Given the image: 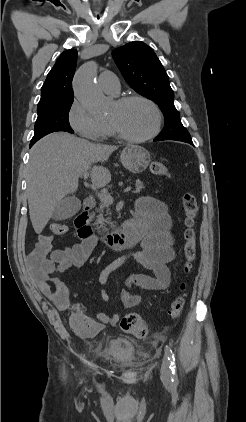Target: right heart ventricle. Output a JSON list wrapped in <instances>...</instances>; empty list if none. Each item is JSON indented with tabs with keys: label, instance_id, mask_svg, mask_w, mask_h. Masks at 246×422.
I'll list each match as a JSON object with an SVG mask.
<instances>
[{
	"label": "right heart ventricle",
	"instance_id": "right-heart-ventricle-1",
	"mask_svg": "<svg viewBox=\"0 0 246 422\" xmlns=\"http://www.w3.org/2000/svg\"><path fill=\"white\" fill-rule=\"evenodd\" d=\"M109 125V124H108ZM114 134V130L112 129V127L109 125V132L108 135H113Z\"/></svg>",
	"mask_w": 246,
	"mask_h": 422
}]
</instances>
